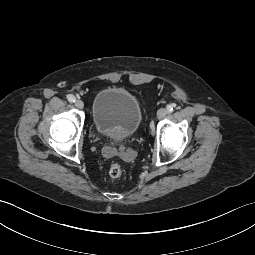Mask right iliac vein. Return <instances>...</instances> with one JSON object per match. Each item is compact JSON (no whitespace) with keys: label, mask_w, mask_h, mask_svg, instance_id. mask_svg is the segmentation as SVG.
<instances>
[{"label":"right iliac vein","mask_w":255,"mask_h":255,"mask_svg":"<svg viewBox=\"0 0 255 255\" xmlns=\"http://www.w3.org/2000/svg\"><path fill=\"white\" fill-rule=\"evenodd\" d=\"M75 106H76L78 109H83V108H84V103H83V101H81V100H77V101L75 102Z\"/></svg>","instance_id":"right-iliac-vein-1"}]
</instances>
